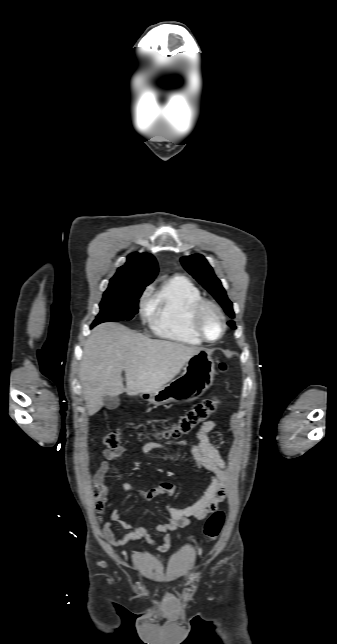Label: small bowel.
Wrapping results in <instances>:
<instances>
[{
    "label": "small bowel",
    "mask_w": 337,
    "mask_h": 644,
    "mask_svg": "<svg viewBox=\"0 0 337 644\" xmlns=\"http://www.w3.org/2000/svg\"><path fill=\"white\" fill-rule=\"evenodd\" d=\"M215 426L216 423L214 421H206L197 432L196 443L186 440L178 442V445L186 446L190 449L198 469L209 477L210 483L203 495L195 503L185 508L165 506L164 509L168 515V520L166 523L158 524L154 528L157 533L161 534L159 538H155L148 527L134 526L131 522L124 520L119 510L115 509L111 514L110 521L105 523L103 527V536L106 540L115 546H120L127 541H150L156 544V550L158 552H164L170 546V532L189 526L193 520H203L208 514L218 508L226 497L227 465L218 450L211 444L208 437V434ZM155 450H163L174 454V451L168 444L160 441H150L142 447L144 454H150ZM126 451L127 448L125 446L104 450V460L95 473L97 482H103L105 476L111 470L110 463L124 455ZM123 488L125 491L137 493L145 501H150L162 495L171 496L176 492V485L171 482H160L157 486L147 490L135 488L129 483H125ZM114 523H118L122 528L128 530V532L122 536L117 535L113 528Z\"/></svg>",
    "instance_id": "c3829d8e"
}]
</instances>
